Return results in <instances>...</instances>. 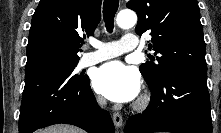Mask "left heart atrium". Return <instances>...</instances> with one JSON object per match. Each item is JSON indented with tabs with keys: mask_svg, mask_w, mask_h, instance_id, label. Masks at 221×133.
<instances>
[{
	"mask_svg": "<svg viewBox=\"0 0 221 133\" xmlns=\"http://www.w3.org/2000/svg\"><path fill=\"white\" fill-rule=\"evenodd\" d=\"M92 84L97 93L115 102H129L140 91L138 73L120 61H110L97 68Z\"/></svg>",
	"mask_w": 221,
	"mask_h": 133,
	"instance_id": "left-heart-atrium-1",
	"label": "left heart atrium"
}]
</instances>
